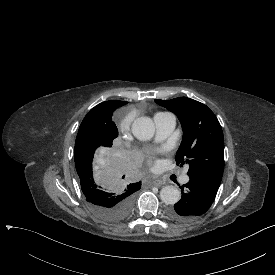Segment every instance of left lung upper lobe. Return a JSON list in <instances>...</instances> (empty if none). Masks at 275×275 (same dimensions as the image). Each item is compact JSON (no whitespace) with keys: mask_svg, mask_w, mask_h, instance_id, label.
I'll use <instances>...</instances> for the list:
<instances>
[{"mask_svg":"<svg viewBox=\"0 0 275 275\" xmlns=\"http://www.w3.org/2000/svg\"><path fill=\"white\" fill-rule=\"evenodd\" d=\"M155 102L179 118L184 132L176 155L177 164L189 165L188 176L221 183L224 169V139L221 125L204 104L187 97Z\"/></svg>","mask_w":275,"mask_h":275,"instance_id":"left-lung-upper-lobe-1","label":"left lung upper lobe"}]
</instances>
